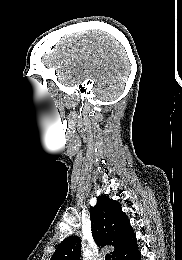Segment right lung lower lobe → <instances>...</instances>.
<instances>
[{
  "mask_svg": "<svg viewBox=\"0 0 182 260\" xmlns=\"http://www.w3.org/2000/svg\"><path fill=\"white\" fill-rule=\"evenodd\" d=\"M141 253L138 251L137 241L121 251L113 260H140Z\"/></svg>",
  "mask_w": 182,
  "mask_h": 260,
  "instance_id": "1",
  "label": "right lung lower lobe"
}]
</instances>
